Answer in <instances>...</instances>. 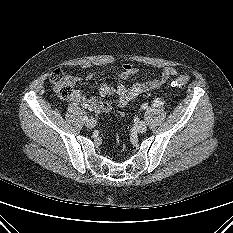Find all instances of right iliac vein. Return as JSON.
I'll return each mask as SVG.
<instances>
[{
    "label": "right iliac vein",
    "mask_w": 233,
    "mask_h": 233,
    "mask_svg": "<svg viewBox=\"0 0 233 233\" xmlns=\"http://www.w3.org/2000/svg\"><path fill=\"white\" fill-rule=\"evenodd\" d=\"M95 125H96V121H95L94 118H90V119H88V121L86 122V126H87L88 128H93V127H95Z\"/></svg>",
    "instance_id": "obj_1"
}]
</instances>
